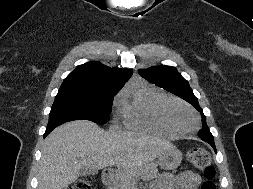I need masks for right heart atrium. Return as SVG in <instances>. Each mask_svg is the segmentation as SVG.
<instances>
[{
  "instance_id": "right-heart-atrium-1",
  "label": "right heart atrium",
  "mask_w": 253,
  "mask_h": 189,
  "mask_svg": "<svg viewBox=\"0 0 253 189\" xmlns=\"http://www.w3.org/2000/svg\"><path fill=\"white\" fill-rule=\"evenodd\" d=\"M116 104L121 107V94L116 98Z\"/></svg>"
}]
</instances>
